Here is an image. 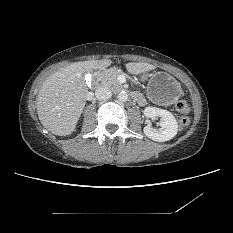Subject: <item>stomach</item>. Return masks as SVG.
<instances>
[{"label":"stomach","instance_id":"stomach-1","mask_svg":"<svg viewBox=\"0 0 233 233\" xmlns=\"http://www.w3.org/2000/svg\"><path fill=\"white\" fill-rule=\"evenodd\" d=\"M148 78L147 95L160 104H172L179 99L182 93L180 83L170 74L164 71L144 74Z\"/></svg>","mask_w":233,"mask_h":233}]
</instances>
